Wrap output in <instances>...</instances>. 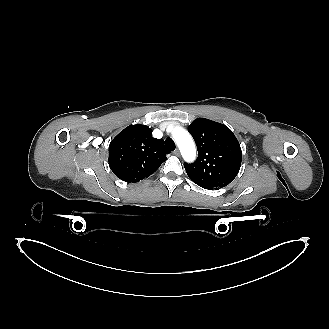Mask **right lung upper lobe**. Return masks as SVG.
<instances>
[{"label":"right lung upper lobe","mask_w":329,"mask_h":329,"mask_svg":"<svg viewBox=\"0 0 329 329\" xmlns=\"http://www.w3.org/2000/svg\"><path fill=\"white\" fill-rule=\"evenodd\" d=\"M169 151L146 125H130L109 145V166L121 180L136 183L153 174Z\"/></svg>","instance_id":"cb5924a9"}]
</instances>
